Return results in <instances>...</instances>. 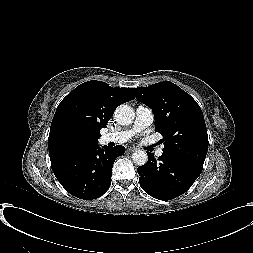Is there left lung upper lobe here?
<instances>
[{"instance_id": "obj_1", "label": "left lung upper lobe", "mask_w": 253, "mask_h": 253, "mask_svg": "<svg viewBox=\"0 0 253 253\" xmlns=\"http://www.w3.org/2000/svg\"><path fill=\"white\" fill-rule=\"evenodd\" d=\"M131 91L138 101L152 109L155 131L163 135V153L203 165L208 150V134L197 102L170 81L131 88Z\"/></svg>"}]
</instances>
